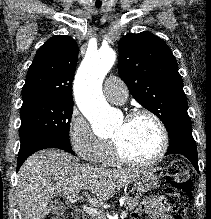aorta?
<instances>
[{
	"mask_svg": "<svg viewBox=\"0 0 211 219\" xmlns=\"http://www.w3.org/2000/svg\"><path fill=\"white\" fill-rule=\"evenodd\" d=\"M115 59L116 53L110 47L88 52L74 81L77 105L99 137L112 135L117 121V115L106 102L101 89L103 79L114 65Z\"/></svg>",
	"mask_w": 211,
	"mask_h": 219,
	"instance_id": "aorta-1",
	"label": "aorta"
}]
</instances>
